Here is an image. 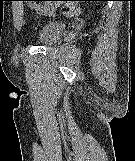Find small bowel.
<instances>
[{
  "label": "small bowel",
  "mask_w": 135,
  "mask_h": 161,
  "mask_svg": "<svg viewBox=\"0 0 135 161\" xmlns=\"http://www.w3.org/2000/svg\"><path fill=\"white\" fill-rule=\"evenodd\" d=\"M41 11H42L43 13L51 12V11H52V8H51L50 6H46V7L42 8Z\"/></svg>",
  "instance_id": "small-bowel-1"
}]
</instances>
